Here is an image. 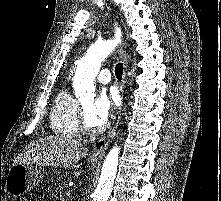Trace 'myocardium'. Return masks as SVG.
<instances>
[{
	"instance_id": "f54148a6",
	"label": "myocardium",
	"mask_w": 221,
	"mask_h": 201,
	"mask_svg": "<svg viewBox=\"0 0 221 201\" xmlns=\"http://www.w3.org/2000/svg\"><path fill=\"white\" fill-rule=\"evenodd\" d=\"M78 124H79V130L88 135L99 134L103 132V130L105 129L104 124L97 127L91 126L89 124L82 105H79Z\"/></svg>"
}]
</instances>
